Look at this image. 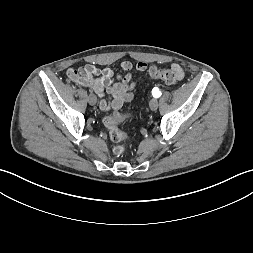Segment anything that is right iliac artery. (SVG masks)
<instances>
[{
  "label": "right iliac artery",
  "mask_w": 253,
  "mask_h": 253,
  "mask_svg": "<svg viewBox=\"0 0 253 253\" xmlns=\"http://www.w3.org/2000/svg\"><path fill=\"white\" fill-rule=\"evenodd\" d=\"M89 93L92 94V93H93V90L89 89Z\"/></svg>",
  "instance_id": "1"
}]
</instances>
